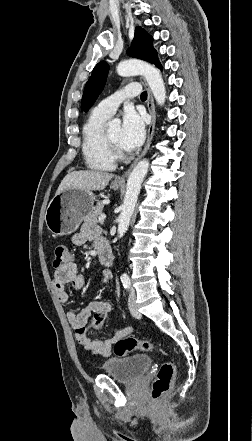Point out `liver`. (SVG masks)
Returning a JSON list of instances; mask_svg holds the SVG:
<instances>
[{"label": "liver", "instance_id": "liver-1", "mask_svg": "<svg viewBox=\"0 0 252 441\" xmlns=\"http://www.w3.org/2000/svg\"><path fill=\"white\" fill-rule=\"evenodd\" d=\"M113 177L112 173L97 170L73 171L61 181L56 194L67 189L103 190Z\"/></svg>", "mask_w": 252, "mask_h": 441}]
</instances>
